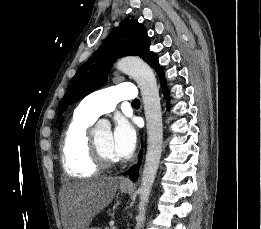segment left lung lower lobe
<instances>
[{
	"mask_svg": "<svg viewBox=\"0 0 261 229\" xmlns=\"http://www.w3.org/2000/svg\"><path fill=\"white\" fill-rule=\"evenodd\" d=\"M158 74H159L161 85L163 88V93L165 95V98L168 99V91L166 88L163 70L160 71ZM141 156H142V154L140 153L138 165H134L133 167L130 168V170L128 172L125 173V175H129V178L133 181H136L139 176L138 173H139V165L141 164Z\"/></svg>",
	"mask_w": 261,
	"mask_h": 229,
	"instance_id": "0a47b994",
	"label": "left lung lower lobe"
}]
</instances>
